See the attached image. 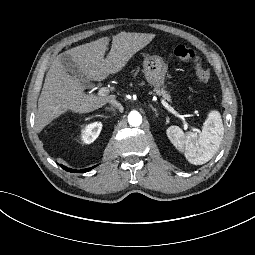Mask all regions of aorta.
Wrapping results in <instances>:
<instances>
[{
    "label": "aorta",
    "instance_id": "aorta-1",
    "mask_svg": "<svg viewBox=\"0 0 255 255\" xmlns=\"http://www.w3.org/2000/svg\"><path fill=\"white\" fill-rule=\"evenodd\" d=\"M128 122L131 126H139L142 123V116L137 111H132L128 115Z\"/></svg>",
    "mask_w": 255,
    "mask_h": 255
}]
</instances>
